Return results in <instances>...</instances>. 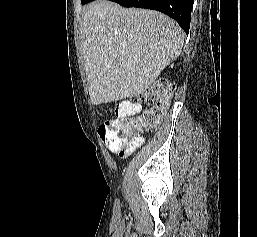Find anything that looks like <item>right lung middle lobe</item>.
<instances>
[{
	"label": "right lung middle lobe",
	"instance_id": "obj_1",
	"mask_svg": "<svg viewBox=\"0 0 257 237\" xmlns=\"http://www.w3.org/2000/svg\"><path fill=\"white\" fill-rule=\"evenodd\" d=\"M91 1H93V0H81V3L83 5V4H86V3L91 2Z\"/></svg>",
	"mask_w": 257,
	"mask_h": 237
}]
</instances>
